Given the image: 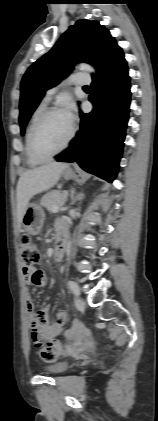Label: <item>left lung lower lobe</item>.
Segmentation results:
<instances>
[{
    "label": "left lung lower lobe",
    "mask_w": 158,
    "mask_h": 421,
    "mask_svg": "<svg viewBox=\"0 0 158 421\" xmlns=\"http://www.w3.org/2000/svg\"><path fill=\"white\" fill-rule=\"evenodd\" d=\"M89 100L94 109L81 115L80 130L70 147L55 156L112 182L118 172L130 105V78L120 47L93 75Z\"/></svg>",
    "instance_id": "0a47b994"
}]
</instances>
